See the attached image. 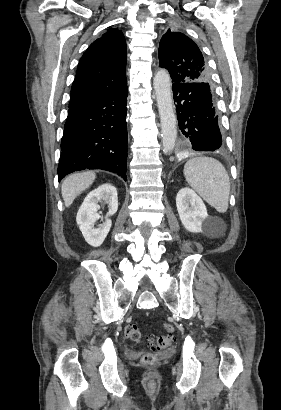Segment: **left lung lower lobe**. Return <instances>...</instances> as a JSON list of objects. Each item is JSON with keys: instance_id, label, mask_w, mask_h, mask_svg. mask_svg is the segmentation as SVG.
Listing matches in <instances>:
<instances>
[{"instance_id": "0a47b994", "label": "left lung lower lobe", "mask_w": 281, "mask_h": 410, "mask_svg": "<svg viewBox=\"0 0 281 410\" xmlns=\"http://www.w3.org/2000/svg\"><path fill=\"white\" fill-rule=\"evenodd\" d=\"M172 90L179 129L186 142L196 151L220 149L223 140L211 85L207 82L173 83Z\"/></svg>"}]
</instances>
